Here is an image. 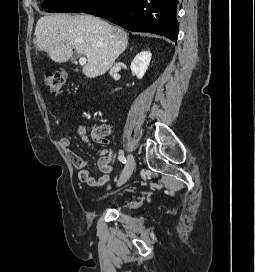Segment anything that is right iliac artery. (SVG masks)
<instances>
[{
  "label": "right iliac artery",
  "mask_w": 255,
  "mask_h": 272,
  "mask_svg": "<svg viewBox=\"0 0 255 272\" xmlns=\"http://www.w3.org/2000/svg\"><path fill=\"white\" fill-rule=\"evenodd\" d=\"M118 159L122 163H126L127 162L126 157L124 156V154H120L119 157H118Z\"/></svg>",
  "instance_id": "1"
}]
</instances>
